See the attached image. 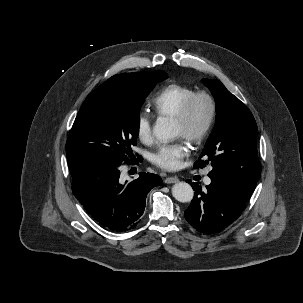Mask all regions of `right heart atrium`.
I'll return each mask as SVG.
<instances>
[{"label": "right heart atrium", "mask_w": 303, "mask_h": 303, "mask_svg": "<svg viewBox=\"0 0 303 303\" xmlns=\"http://www.w3.org/2000/svg\"><path fill=\"white\" fill-rule=\"evenodd\" d=\"M136 134L143 143H149L152 140V122L147 113L141 112L136 120Z\"/></svg>", "instance_id": "right-heart-atrium-1"}]
</instances>
